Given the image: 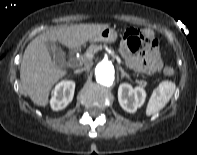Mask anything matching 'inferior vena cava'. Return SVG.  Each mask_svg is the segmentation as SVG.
Listing matches in <instances>:
<instances>
[{
	"label": "inferior vena cava",
	"instance_id": "obj_1",
	"mask_svg": "<svg viewBox=\"0 0 197 155\" xmlns=\"http://www.w3.org/2000/svg\"><path fill=\"white\" fill-rule=\"evenodd\" d=\"M84 70H86V67H83V68L77 69L75 72H76V73H79V72H82V71H84Z\"/></svg>",
	"mask_w": 197,
	"mask_h": 155
}]
</instances>
